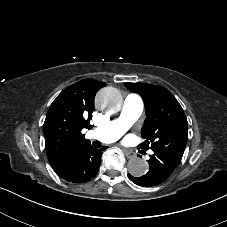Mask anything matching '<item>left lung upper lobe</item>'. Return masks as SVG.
<instances>
[{"label":"left lung upper lobe","instance_id":"left-lung-upper-lobe-1","mask_svg":"<svg viewBox=\"0 0 227 227\" xmlns=\"http://www.w3.org/2000/svg\"><path fill=\"white\" fill-rule=\"evenodd\" d=\"M144 100L147 118L141 130L145 139L138 147L151 149L180 162L188 140L187 118L184 111L164 87L144 83H125Z\"/></svg>","mask_w":227,"mask_h":227}]
</instances>
